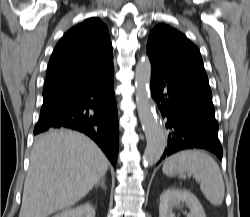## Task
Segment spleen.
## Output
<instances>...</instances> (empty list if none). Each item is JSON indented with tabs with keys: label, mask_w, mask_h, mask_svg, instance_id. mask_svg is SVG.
Wrapping results in <instances>:
<instances>
[{
	"label": "spleen",
	"mask_w": 250,
	"mask_h": 217,
	"mask_svg": "<svg viewBox=\"0 0 250 217\" xmlns=\"http://www.w3.org/2000/svg\"><path fill=\"white\" fill-rule=\"evenodd\" d=\"M162 171L173 177L188 173L200 183L205 198L214 206H220L225 196L224 180L217 162L200 150L180 151L164 162Z\"/></svg>",
	"instance_id": "3e777b00"
}]
</instances>
